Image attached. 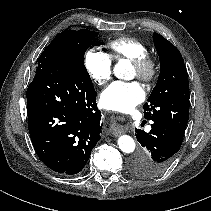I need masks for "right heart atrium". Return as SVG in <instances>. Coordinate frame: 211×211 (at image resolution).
<instances>
[{
  "label": "right heart atrium",
  "instance_id": "d8ad5b80",
  "mask_svg": "<svg viewBox=\"0 0 211 211\" xmlns=\"http://www.w3.org/2000/svg\"><path fill=\"white\" fill-rule=\"evenodd\" d=\"M84 64L90 78L95 84L102 86L111 79L112 60L109 55L97 48H91L86 51Z\"/></svg>",
  "mask_w": 211,
  "mask_h": 211
}]
</instances>
